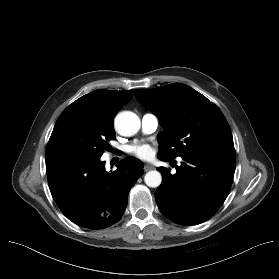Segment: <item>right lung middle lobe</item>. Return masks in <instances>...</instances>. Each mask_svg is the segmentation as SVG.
<instances>
[{
  "label": "right lung middle lobe",
  "instance_id": "obj_1",
  "mask_svg": "<svg viewBox=\"0 0 279 279\" xmlns=\"http://www.w3.org/2000/svg\"><path fill=\"white\" fill-rule=\"evenodd\" d=\"M114 128L102 125L82 110H64L46 148V165L70 160L95 159L115 139Z\"/></svg>",
  "mask_w": 279,
  "mask_h": 279
}]
</instances>
